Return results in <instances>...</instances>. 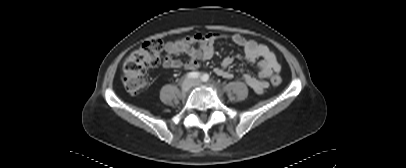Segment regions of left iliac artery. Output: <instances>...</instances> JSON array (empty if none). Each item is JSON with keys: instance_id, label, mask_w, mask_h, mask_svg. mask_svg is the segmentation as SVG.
Masks as SVG:
<instances>
[{"instance_id": "1", "label": "left iliac artery", "mask_w": 406, "mask_h": 168, "mask_svg": "<svg viewBox=\"0 0 406 168\" xmlns=\"http://www.w3.org/2000/svg\"><path fill=\"white\" fill-rule=\"evenodd\" d=\"M201 80H202L203 82H207V81L209 80V75H208V74H204V75L201 77Z\"/></svg>"}]
</instances>
